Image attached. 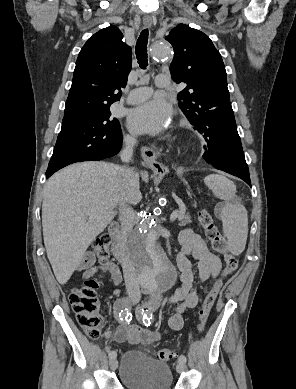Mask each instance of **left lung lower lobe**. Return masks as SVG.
<instances>
[{
    "label": "left lung lower lobe",
    "mask_w": 296,
    "mask_h": 389,
    "mask_svg": "<svg viewBox=\"0 0 296 389\" xmlns=\"http://www.w3.org/2000/svg\"><path fill=\"white\" fill-rule=\"evenodd\" d=\"M199 129L204 141L200 157L213 167L241 178L251 187L231 103L210 111Z\"/></svg>",
    "instance_id": "obj_1"
}]
</instances>
